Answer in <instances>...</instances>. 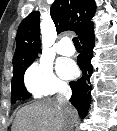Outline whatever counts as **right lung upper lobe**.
Returning <instances> with one entry per match:
<instances>
[{
  "mask_svg": "<svg viewBox=\"0 0 117 131\" xmlns=\"http://www.w3.org/2000/svg\"><path fill=\"white\" fill-rule=\"evenodd\" d=\"M94 0H55L50 15L57 33L74 31L79 39L93 32L91 18L95 14ZM40 13L32 12L19 25L16 36V50L13 58V70L32 64L40 48Z\"/></svg>",
  "mask_w": 117,
  "mask_h": 131,
  "instance_id": "cb5924a9",
  "label": "right lung upper lobe"
}]
</instances>
